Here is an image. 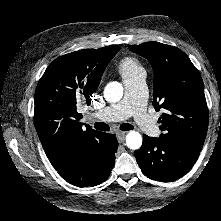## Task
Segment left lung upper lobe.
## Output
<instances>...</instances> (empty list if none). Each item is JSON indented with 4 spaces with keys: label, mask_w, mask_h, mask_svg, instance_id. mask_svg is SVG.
Instances as JSON below:
<instances>
[{
    "label": "left lung upper lobe",
    "mask_w": 221,
    "mask_h": 221,
    "mask_svg": "<svg viewBox=\"0 0 221 221\" xmlns=\"http://www.w3.org/2000/svg\"><path fill=\"white\" fill-rule=\"evenodd\" d=\"M154 70L153 105L164 109L159 122L163 137L201 150L208 128L203 81L189 57L179 48L159 42L129 46Z\"/></svg>",
    "instance_id": "obj_1"
}]
</instances>
